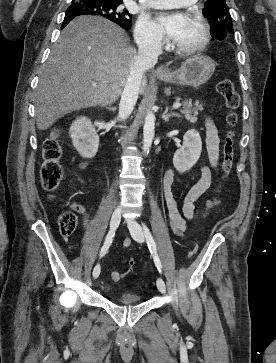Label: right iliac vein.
<instances>
[{
    "mask_svg": "<svg viewBox=\"0 0 276 363\" xmlns=\"http://www.w3.org/2000/svg\"><path fill=\"white\" fill-rule=\"evenodd\" d=\"M120 219H121V210L119 208H117L113 212L111 220H110V229H111V231H115L118 228V226L120 224ZM99 269H100V265L97 264L93 269V278L94 279L98 278Z\"/></svg>",
    "mask_w": 276,
    "mask_h": 363,
    "instance_id": "right-iliac-vein-1",
    "label": "right iliac vein"
}]
</instances>
